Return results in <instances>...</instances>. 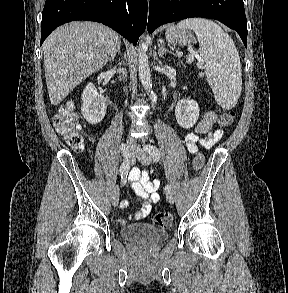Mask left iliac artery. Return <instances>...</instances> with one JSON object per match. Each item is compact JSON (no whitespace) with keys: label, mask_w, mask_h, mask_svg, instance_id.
Listing matches in <instances>:
<instances>
[{"label":"left iliac artery","mask_w":288,"mask_h":293,"mask_svg":"<svg viewBox=\"0 0 288 293\" xmlns=\"http://www.w3.org/2000/svg\"><path fill=\"white\" fill-rule=\"evenodd\" d=\"M144 150L146 151V152H148L151 156H152V158H153V160L155 161V162H158L159 160H160V158H161V154H160V151L158 150V148L156 147V146H153V145H146L145 147H144ZM165 190H166V192H170L171 191V187H170V185H166L165 186Z\"/></svg>","instance_id":"obj_1"}]
</instances>
